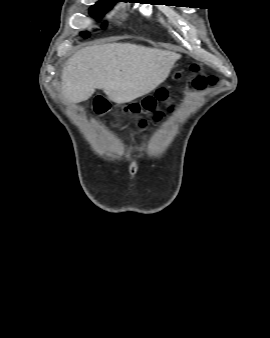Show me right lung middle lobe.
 <instances>
[{
	"label": "right lung middle lobe",
	"instance_id": "1",
	"mask_svg": "<svg viewBox=\"0 0 270 338\" xmlns=\"http://www.w3.org/2000/svg\"><path fill=\"white\" fill-rule=\"evenodd\" d=\"M121 1V0H119ZM116 0H100L96 3V5L92 6L90 8V14L96 18H101L106 11L111 9V7L114 5V3L119 2ZM106 24L103 25L105 27ZM87 35V34H85Z\"/></svg>",
	"mask_w": 270,
	"mask_h": 338
}]
</instances>
